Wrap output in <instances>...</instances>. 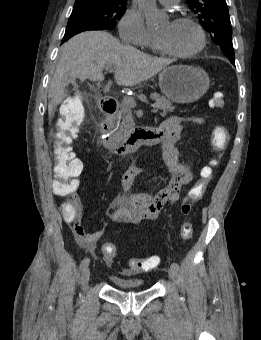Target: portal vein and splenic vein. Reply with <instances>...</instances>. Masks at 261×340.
Returning a JSON list of instances; mask_svg holds the SVG:
<instances>
[{
	"label": "portal vein and splenic vein",
	"instance_id": "18ae733b",
	"mask_svg": "<svg viewBox=\"0 0 261 340\" xmlns=\"http://www.w3.org/2000/svg\"><path fill=\"white\" fill-rule=\"evenodd\" d=\"M105 69H106L107 71H111V70H112V66L107 65V66H105ZM124 101H125V103H126L128 106H130V107H132V108H134V107L137 106L136 100H135L133 97H131V96H125V97H124ZM151 111H152L153 113L158 112V105H152V110H151Z\"/></svg>",
	"mask_w": 261,
	"mask_h": 340
}]
</instances>
